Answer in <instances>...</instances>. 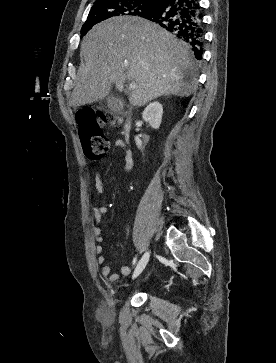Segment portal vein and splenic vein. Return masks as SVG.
I'll use <instances>...</instances> for the list:
<instances>
[{
	"instance_id": "18ae733b",
	"label": "portal vein and splenic vein",
	"mask_w": 276,
	"mask_h": 363,
	"mask_svg": "<svg viewBox=\"0 0 276 363\" xmlns=\"http://www.w3.org/2000/svg\"><path fill=\"white\" fill-rule=\"evenodd\" d=\"M136 88V85L135 84H130L129 85V90H133V89H135Z\"/></svg>"
}]
</instances>
